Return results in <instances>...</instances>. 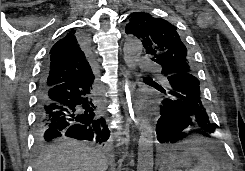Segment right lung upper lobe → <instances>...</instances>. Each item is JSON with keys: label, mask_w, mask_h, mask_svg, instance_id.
I'll use <instances>...</instances> for the list:
<instances>
[{"label": "right lung upper lobe", "mask_w": 245, "mask_h": 171, "mask_svg": "<svg viewBox=\"0 0 245 171\" xmlns=\"http://www.w3.org/2000/svg\"><path fill=\"white\" fill-rule=\"evenodd\" d=\"M44 67L41 81L44 86L88 78L94 74L92 61L81 46V36L76 29L53 45Z\"/></svg>", "instance_id": "1"}]
</instances>
